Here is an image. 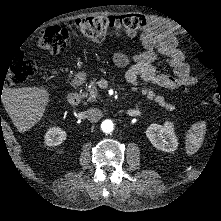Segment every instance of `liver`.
Returning <instances> with one entry per match:
<instances>
[{
  "mask_svg": "<svg viewBox=\"0 0 221 221\" xmlns=\"http://www.w3.org/2000/svg\"><path fill=\"white\" fill-rule=\"evenodd\" d=\"M4 100L5 110L20 133L38 122L50 101L48 91L37 87L6 89Z\"/></svg>",
  "mask_w": 221,
  "mask_h": 221,
  "instance_id": "1",
  "label": "liver"
}]
</instances>
